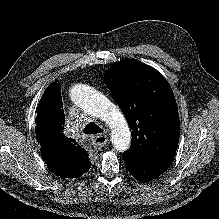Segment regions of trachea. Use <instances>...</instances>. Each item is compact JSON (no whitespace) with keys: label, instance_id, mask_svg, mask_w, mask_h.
<instances>
[{"label":"trachea","instance_id":"1","mask_svg":"<svg viewBox=\"0 0 219 219\" xmlns=\"http://www.w3.org/2000/svg\"><path fill=\"white\" fill-rule=\"evenodd\" d=\"M84 132L86 134H99L102 133L103 130L95 122H90L85 126Z\"/></svg>","mask_w":219,"mask_h":219}]
</instances>
